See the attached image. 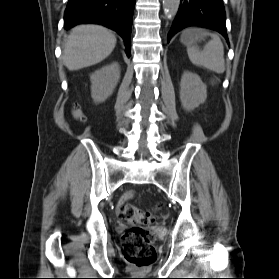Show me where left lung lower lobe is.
Returning <instances> with one entry per match:
<instances>
[{
    "label": "left lung lower lobe",
    "instance_id": "obj_1",
    "mask_svg": "<svg viewBox=\"0 0 279 279\" xmlns=\"http://www.w3.org/2000/svg\"><path fill=\"white\" fill-rule=\"evenodd\" d=\"M167 40L178 31L189 26L211 28L222 34L228 41L226 13L222 0H181Z\"/></svg>",
    "mask_w": 279,
    "mask_h": 279
}]
</instances>
